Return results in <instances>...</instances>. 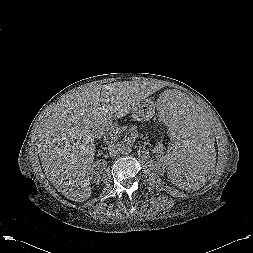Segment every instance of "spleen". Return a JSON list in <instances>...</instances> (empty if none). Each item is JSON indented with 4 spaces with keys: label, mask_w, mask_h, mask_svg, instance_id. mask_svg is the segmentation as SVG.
I'll use <instances>...</instances> for the list:
<instances>
[{
    "label": "spleen",
    "mask_w": 253,
    "mask_h": 253,
    "mask_svg": "<svg viewBox=\"0 0 253 253\" xmlns=\"http://www.w3.org/2000/svg\"><path fill=\"white\" fill-rule=\"evenodd\" d=\"M156 113L171 139L166 164L180 188L198 189L212 172L216 131L210 116L178 91L163 93Z\"/></svg>",
    "instance_id": "3e777b00"
}]
</instances>
